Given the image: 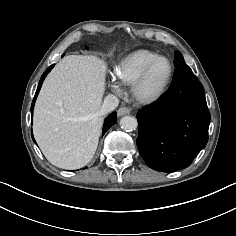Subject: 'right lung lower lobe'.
Instances as JSON below:
<instances>
[{"mask_svg":"<svg viewBox=\"0 0 236 236\" xmlns=\"http://www.w3.org/2000/svg\"><path fill=\"white\" fill-rule=\"evenodd\" d=\"M54 67V64L51 65L50 67H48L46 69V71L43 73L41 79H40V82H39V85H38V88H37V91L35 93V96H34V100L32 102V106H31V112L33 114V108H34V104H35V100L37 98V95L39 93V90L42 86V83H43V80L45 79L46 75L51 71V69ZM116 112H113L111 115H109L106 120H105V123H104V127H103V135L105 134V132L112 126L116 123ZM32 139L33 141L35 142L34 138H33V135H32Z\"/></svg>","mask_w":236,"mask_h":236,"instance_id":"obj_1","label":"right lung lower lobe"}]
</instances>
